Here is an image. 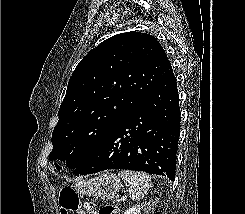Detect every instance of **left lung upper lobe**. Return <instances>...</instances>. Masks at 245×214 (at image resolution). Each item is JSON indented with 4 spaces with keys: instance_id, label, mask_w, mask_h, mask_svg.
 Listing matches in <instances>:
<instances>
[{
    "instance_id": "5c2ea615",
    "label": "left lung upper lobe",
    "mask_w": 245,
    "mask_h": 214,
    "mask_svg": "<svg viewBox=\"0 0 245 214\" xmlns=\"http://www.w3.org/2000/svg\"><path fill=\"white\" fill-rule=\"evenodd\" d=\"M172 71L160 43L146 33L117 34L90 50L70 77L49 159L79 167Z\"/></svg>"
}]
</instances>
